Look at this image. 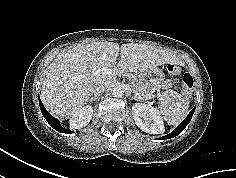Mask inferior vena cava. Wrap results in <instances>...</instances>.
Masks as SVG:
<instances>
[{
    "instance_id": "inferior-vena-cava-1",
    "label": "inferior vena cava",
    "mask_w": 236,
    "mask_h": 178,
    "mask_svg": "<svg viewBox=\"0 0 236 178\" xmlns=\"http://www.w3.org/2000/svg\"><path fill=\"white\" fill-rule=\"evenodd\" d=\"M111 83L105 82L104 84L101 85H96L91 89V93L95 96L98 97L100 96L107 88H109Z\"/></svg>"
}]
</instances>
